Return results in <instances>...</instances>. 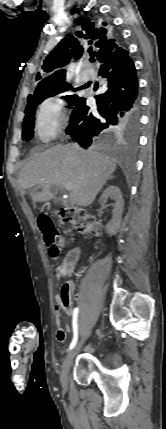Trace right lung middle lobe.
<instances>
[{
  "mask_svg": "<svg viewBox=\"0 0 166 429\" xmlns=\"http://www.w3.org/2000/svg\"><path fill=\"white\" fill-rule=\"evenodd\" d=\"M71 87L67 86L65 81L56 84H40L37 85L33 95H30L27 100V106L25 109V118L23 121V132L22 138L24 141H29L34 135V120L37 106L48 97H52L59 93L69 90ZM77 89H73L76 91ZM64 98V97H62ZM69 105H74L78 99L77 95L65 96Z\"/></svg>",
  "mask_w": 166,
  "mask_h": 429,
  "instance_id": "dd1d6c3e",
  "label": "right lung middle lobe"
}]
</instances>
